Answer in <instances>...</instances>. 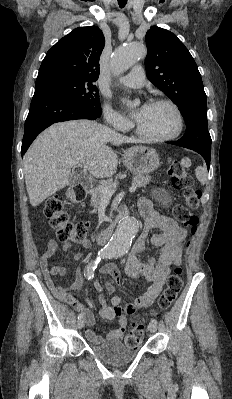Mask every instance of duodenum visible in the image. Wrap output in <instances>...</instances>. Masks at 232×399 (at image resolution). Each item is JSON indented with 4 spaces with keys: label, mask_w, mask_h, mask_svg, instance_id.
Instances as JSON below:
<instances>
[{
    "label": "duodenum",
    "mask_w": 232,
    "mask_h": 399,
    "mask_svg": "<svg viewBox=\"0 0 232 399\" xmlns=\"http://www.w3.org/2000/svg\"><path fill=\"white\" fill-rule=\"evenodd\" d=\"M87 194H88L87 187L82 184H79V185L74 186L67 192V197H68L69 201H71L73 203H78V202H81L82 200H84L86 198ZM113 230H114V227L109 226L106 229L97 232L94 235V241L97 242L98 244H105L110 239V237L113 233Z\"/></svg>",
    "instance_id": "obj_1"
}]
</instances>
